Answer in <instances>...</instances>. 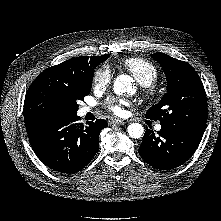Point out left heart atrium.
Wrapping results in <instances>:
<instances>
[{"label":"left heart atrium","instance_id":"left-heart-atrium-1","mask_svg":"<svg viewBox=\"0 0 221 221\" xmlns=\"http://www.w3.org/2000/svg\"><path fill=\"white\" fill-rule=\"evenodd\" d=\"M125 106L126 102L124 100L109 99L106 102L108 110L116 116H123L125 114Z\"/></svg>","mask_w":221,"mask_h":221}]
</instances>
